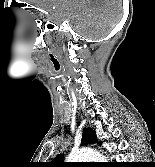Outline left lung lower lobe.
Returning <instances> with one entry per match:
<instances>
[{
  "mask_svg": "<svg viewBox=\"0 0 155 167\" xmlns=\"http://www.w3.org/2000/svg\"><path fill=\"white\" fill-rule=\"evenodd\" d=\"M113 166H114V167H118L119 165L116 164V165H113Z\"/></svg>",
  "mask_w": 155,
  "mask_h": 167,
  "instance_id": "0a47b994",
  "label": "left lung lower lobe"
}]
</instances>
